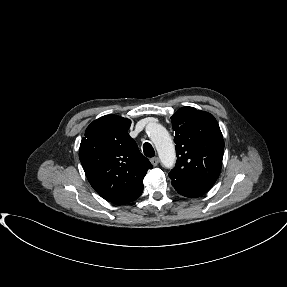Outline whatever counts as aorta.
Wrapping results in <instances>:
<instances>
[{"label": "aorta", "instance_id": "1", "mask_svg": "<svg viewBox=\"0 0 287 287\" xmlns=\"http://www.w3.org/2000/svg\"><path fill=\"white\" fill-rule=\"evenodd\" d=\"M148 136L156 147L162 165L172 168L176 161L175 147L166 128L152 123L148 126Z\"/></svg>", "mask_w": 287, "mask_h": 287}]
</instances>
